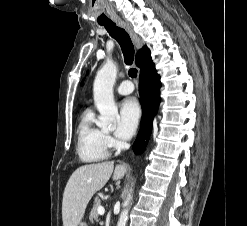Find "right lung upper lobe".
<instances>
[{"label":"right lung upper lobe","mask_w":247,"mask_h":226,"mask_svg":"<svg viewBox=\"0 0 247 226\" xmlns=\"http://www.w3.org/2000/svg\"><path fill=\"white\" fill-rule=\"evenodd\" d=\"M150 51L147 47H143L136 55V65L142 70L150 62Z\"/></svg>","instance_id":"1"}]
</instances>
